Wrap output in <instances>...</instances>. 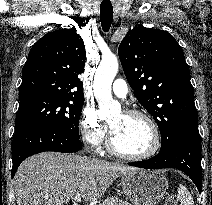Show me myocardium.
Segmentation results:
<instances>
[{"label":"myocardium","instance_id":"myocardium-1","mask_svg":"<svg viewBox=\"0 0 212 205\" xmlns=\"http://www.w3.org/2000/svg\"><path fill=\"white\" fill-rule=\"evenodd\" d=\"M127 116L137 117L143 119L149 127L151 134V143L149 147L141 153L138 154H127L119 151L113 144L111 135L107 140V149L108 151L121 159L130 160V161H142L153 157L160 149L161 146V136L159 128L155 122V120L146 112L140 110H130L126 112Z\"/></svg>","mask_w":212,"mask_h":205}]
</instances>
